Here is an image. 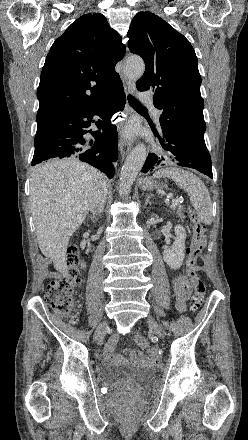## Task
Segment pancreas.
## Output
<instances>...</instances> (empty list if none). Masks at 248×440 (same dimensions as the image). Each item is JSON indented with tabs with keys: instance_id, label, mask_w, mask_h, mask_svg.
Instances as JSON below:
<instances>
[{
	"instance_id": "obj_1",
	"label": "pancreas",
	"mask_w": 248,
	"mask_h": 440,
	"mask_svg": "<svg viewBox=\"0 0 248 440\" xmlns=\"http://www.w3.org/2000/svg\"><path fill=\"white\" fill-rule=\"evenodd\" d=\"M171 208L176 211V214L180 217V219L184 218L183 207L181 205L172 206Z\"/></svg>"
}]
</instances>
